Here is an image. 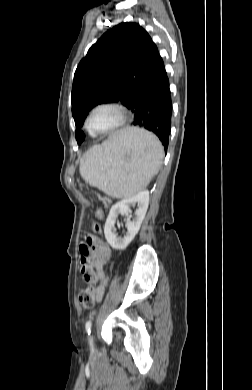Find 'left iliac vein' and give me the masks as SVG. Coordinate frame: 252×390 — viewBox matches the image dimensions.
<instances>
[{
	"label": "left iliac vein",
	"instance_id": "obj_1",
	"mask_svg": "<svg viewBox=\"0 0 252 390\" xmlns=\"http://www.w3.org/2000/svg\"><path fill=\"white\" fill-rule=\"evenodd\" d=\"M91 341L94 342V336L93 335H91Z\"/></svg>",
	"mask_w": 252,
	"mask_h": 390
}]
</instances>
